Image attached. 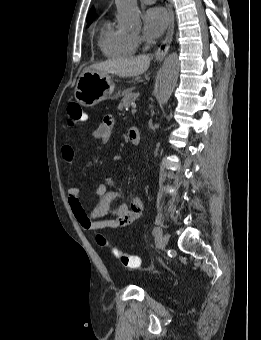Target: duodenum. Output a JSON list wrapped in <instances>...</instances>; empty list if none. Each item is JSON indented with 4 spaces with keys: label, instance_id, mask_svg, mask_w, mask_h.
Listing matches in <instances>:
<instances>
[{
    "label": "duodenum",
    "instance_id": "duodenum-1",
    "mask_svg": "<svg viewBox=\"0 0 261 340\" xmlns=\"http://www.w3.org/2000/svg\"><path fill=\"white\" fill-rule=\"evenodd\" d=\"M129 139L134 145H138L140 142V133L138 128L131 127L129 129Z\"/></svg>",
    "mask_w": 261,
    "mask_h": 340
}]
</instances>
